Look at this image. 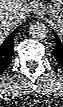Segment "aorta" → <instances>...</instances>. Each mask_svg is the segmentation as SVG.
Masks as SVG:
<instances>
[{"mask_svg":"<svg viewBox=\"0 0 63 107\" xmlns=\"http://www.w3.org/2000/svg\"><path fill=\"white\" fill-rule=\"evenodd\" d=\"M29 33L32 38L42 40L47 36L48 28L43 22H35L30 25Z\"/></svg>","mask_w":63,"mask_h":107,"instance_id":"762f6f07","label":"aorta"}]
</instances>
